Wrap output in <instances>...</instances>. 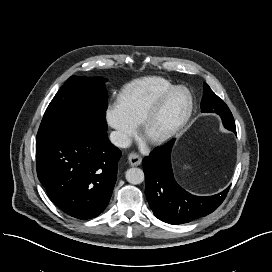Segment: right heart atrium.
Returning a JSON list of instances; mask_svg holds the SVG:
<instances>
[{
  "instance_id": "right-heart-atrium-1",
  "label": "right heart atrium",
  "mask_w": 272,
  "mask_h": 272,
  "mask_svg": "<svg viewBox=\"0 0 272 272\" xmlns=\"http://www.w3.org/2000/svg\"><path fill=\"white\" fill-rule=\"evenodd\" d=\"M105 120L114 130L113 140L119 146L126 144L136 132V126L128 119L119 103H112L106 108Z\"/></svg>"
}]
</instances>
